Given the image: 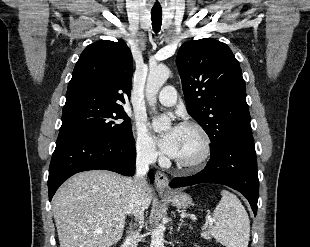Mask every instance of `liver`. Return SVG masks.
Here are the masks:
<instances>
[{
  "label": "liver",
  "instance_id": "1",
  "mask_svg": "<svg viewBox=\"0 0 310 247\" xmlns=\"http://www.w3.org/2000/svg\"><path fill=\"white\" fill-rule=\"evenodd\" d=\"M129 178L104 170L74 175L56 192L52 203L60 247H110L122 237L129 201ZM144 210L152 200L141 189ZM101 230L102 233H96Z\"/></svg>",
  "mask_w": 310,
  "mask_h": 247
}]
</instances>
